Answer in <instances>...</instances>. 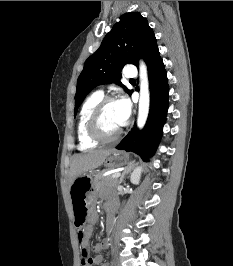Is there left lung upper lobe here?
<instances>
[{"instance_id":"obj_1","label":"left lung upper lobe","mask_w":233,"mask_h":266,"mask_svg":"<svg viewBox=\"0 0 233 266\" xmlns=\"http://www.w3.org/2000/svg\"><path fill=\"white\" fill-rule=\"evenodd\" d=\"M156 38L147 19L138 12L125 13L105 36L99 49L89 57L78 77L74 115L86 95L96 86L114 82L128 90L121 82V69L126 64L138 65L156 46Z\"/></svg>"}]
</instances>
